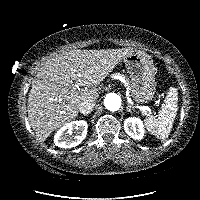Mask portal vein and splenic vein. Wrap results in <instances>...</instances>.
Masks as SVG:
<instances>
[{
  "label": "portal vein and splenic vein",
  "instance_id": "obj_1",
  "mask_svg": "<svg viewBox=\"0 0 200 200\" xmlns=\"http://www.w3.org/2000/svg\"><path fill=\"white\" fill-rule=\"evenodd\" d=\"M139 110H141L145 115H147V113H151V109L148 106H140L137 105L136 106Z\"/></svg>",
  "mask_w": 200,
  "mask_h": 200
}]
</instances>
